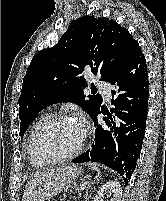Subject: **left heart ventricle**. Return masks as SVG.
Returning <instances> with one entry per match:
<instances>
[{"label": "left heart ventricle", "mask_w": 166, "mask_h": 201, "mask_svg": "<svg viewBox=\"0 0 166 201\" xmlns=\"http://www.w3.org/2000/svg\"><path fill=\"white\" fill-rule=\"evenodd\" d=\"M83 138V131L74 121L56 122L46 127L40 134L36 153L40 162L75 150Z\"/></svg>", "instance_id": "1"}]
</instances>
